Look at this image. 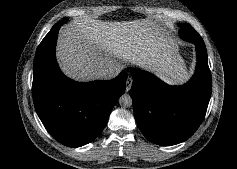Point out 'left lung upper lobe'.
Returning a JSON list of instances; mask_svg holds the SVG:
<instances>
[{
    "instance_id": "5c2ea615",
    "label": "left lung upper lobe",
    "mask_w": 237,
    "mask_h": 169,
    "mask_svg": "<svg viewBox=\"0 0 237 169\" xmlns=\"http://www.w3.org/2000/svg\"><path fill=\"white\" fill-rule=\"evenodd\" d=\"M179 26L180 36L182 37V39L189 42H203L201 36L195 31V29L191 25L187 23H180Z\"/></svg>"
}]
</instances>
